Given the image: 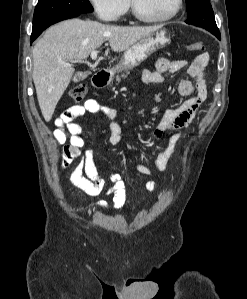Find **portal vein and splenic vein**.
Listing matches in <instances>:
<instances>
[{"label": "portal vein and splenic vein", "instance_id": "portal-vein-and-splenic-vein-1", "mask_svg": "<svg viewBox=\"0 0 247 299\" xmlns=\"http://www.w3.org/2000/svg\"><path fill=\"white\" fill-rule=\"evenodd\" d=\"M90 56H91L92 60H94V61L97 60V51L96 50H92ZM74 62H76V61H72L71 63H64V65H66V66H72Z\"/></svg>", "mask_w": 247, "mask_h": 299}]
</instances>
